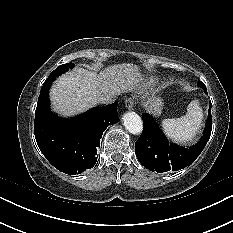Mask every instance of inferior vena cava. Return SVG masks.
<instances>
[{"label": "inferior vena cava", "instance_id": "1", "mask_svg": "<svg viewBox=\"0 0 233 233\" xmlns=\"http://www.w3.org/2000/svg\"><path fill=\"white\" fill-rule=\"evenodd\" d=\"M114 100V94H105L98 97V102L102 104H110Z\"/></svg>", "mask_w": 233, "mask_h": 233}]
</instances>
